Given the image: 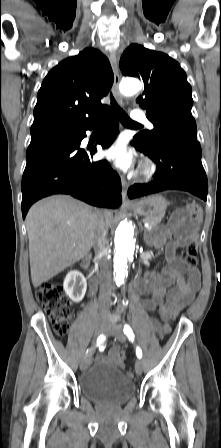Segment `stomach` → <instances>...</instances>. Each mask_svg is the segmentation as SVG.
Wrapping results in <instances>:
<instances>
[{"instance_id": "obj_1", "label": "stomach", "mask_w": 221, "mask_h": 448, "mask_svg": "<svg viewBox=\"0 0 221 448\" xmlns=\"http://www.w3.org/2000/svg\"><path fill=\"white\" fill-rule=\"evenodd\" d=\"M168 206L167 200L161 195H152L133 202L129 208L146 217H154L165 214Z\"/></svg>"}]
</instances>
